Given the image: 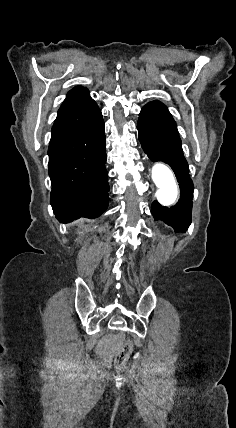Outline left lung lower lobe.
<instances>
[{"mask_svg": "<svg viewBox=\"0 0 236 428\" xmlns=\"http://www.w3.org/2000/svg\"><path fill=\"white\" fill-rule=\"evenodd\" d=\"M137 129L144 152L153 161H162L174 171L180 187V199L173 207L154 201L151 212L155 220H162L175 232L186 231L191 224L193 182L183 155L176 122L167 107L159 102L147 103L141 110Z\"/></svg>", "mask_w": 236, "mask_h": 428, "instance_id": "obj_1", "label": "left lung lower lobe"}]
</instances>
